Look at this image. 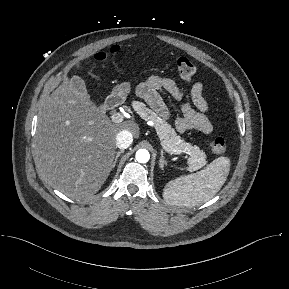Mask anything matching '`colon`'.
<instances>
[{"mask_svg":"<svg viewBox=\"0 0 289 289\" xmlns=\"http://www.w3.org/2000/svg\"><path fill=\"white\" fill-rule=\"evenodd\" d=\"M117 51V47H113L109 53H99L96 56L98 62H104L108 57ZM175 67L179 76L183 79H190L194 76L196 68L194 64L185 56H178L175 60ZM211 150L216 154H223L227 145L222 137H216L210 142Z\"/></svg>","mask_w":289,"mask_h":289,"instance_id":"colon-1","label":"colon"}]
</instances>
